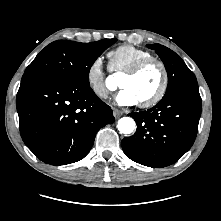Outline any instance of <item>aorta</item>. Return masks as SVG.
Wrapping results in <instances>:
<instances>
[{
	"label": "aorta",
	"mask_w": 221,
	"mask_h": 221,
	"mask_svg": "<svg viewBox=\"0 0 221 221\" xmlns=\"http://www.w3.org/2000/svg\"><path fill=\"white\" fill-rule=\"evenodd\" d=\"M117 128L121 134H130L135 129V121L130 117H123L118 121Z\"/></svg>",
	"instance_id": "aorta-1"
}]
</instances>
